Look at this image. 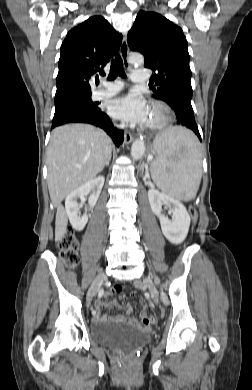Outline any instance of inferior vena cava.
I'll use <instances>...</instances> for the list:
<instances>
[{"instance_id": "inferior-vena-cava-1", "label": "inferior vena cava", "mask_w": 252, "mask_h": 390, "mask_svg": "<svg viewBox=\"0 0 252 390\" xmlns=\"http://www.w3.org/2000/svg\"><path fill=\"white\" fill-rule=\"evenodd\" d=\"M124 127H125L124 124L120 125V128H124Z\"/></svg>"}]
</instances>
